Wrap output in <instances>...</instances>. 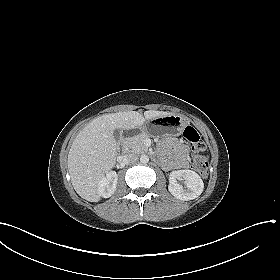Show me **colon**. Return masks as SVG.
I'll use <instances>...</instances> for the list:
<instances>
[{
    "label": "colon",
    "instance_id": "5ec220e1",
    "mask_svg": "<svg viewBox=\"0 0 280 280\" xmlns=\"http://www.w3.org/2000/svg\"><path fill=\"white\" fill-rule=\"evenodd\" d=\"M183 136L191 146V163L195 171L205 177L208 173V161L203 153L206 151V144L199 132L192 126L184 129Z\"/></svg>",
    "mask_w": 280,
    "mask_h": 280
}]
</instances>
